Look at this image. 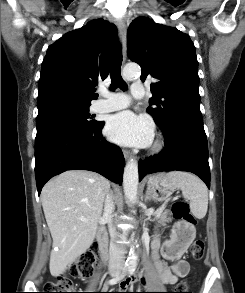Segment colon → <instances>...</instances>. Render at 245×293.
<instances>
[{"mask_svg":"<svg viewBox=\"0 0 245 293\" xmlns=\"http://www.w3.org/2000/svg\"><path fill=\"white\" fill-rule=\"evenodd\" d=\"M172 213L174 218L179 222H184L189 225L195 223L194 216L190 213L189 205L183 200H177L172 204ZM173 244L175 241L173 240ZM191 255L195 260H202L205 253V242L203 239L194 241L191 246ZM98 261L96 253H85L71 265L67 273L59 275L56 279L47 282L42 293H79L74 292L75 287L68 276L77 279H87L91 276L92 270ZM118 293V292H115ZM174 293H192L187 292L185 283L180 284Z\"/></svg>","mask_w":245,"mask_h":293,"instance_id":"1","label":"colon"}]
</instances>
